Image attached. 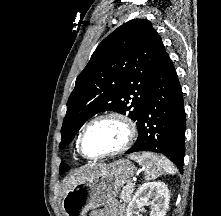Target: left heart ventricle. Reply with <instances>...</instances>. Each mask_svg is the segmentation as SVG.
<instances>
[{"label": "left heart ventricle", "instance_id": "obj_1", "mask_svg": "<svg viewBox=\"0 0 221 216\" xmlns=\"http://www.w3.org/2000/svg\"><path fill=\"white\" fill-rule=\"evenodd\" d=\"M123 126L114 120L92 125L84 135L83 150L87 155H99L116 149L124 141Z\"/></svg>", "mask_w": 221, "mask_h": 216}]
</instances>
